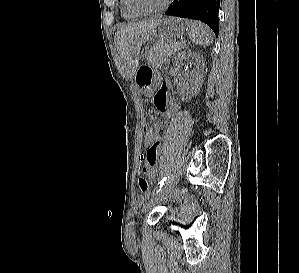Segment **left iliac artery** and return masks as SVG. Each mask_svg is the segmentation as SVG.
Returning <instances> with one entry per match:
<instances>
[{
  "label": "left iliac artery",
  "mask_w": 299,
  "mask_h": 273,
  "mask_svg": "<svg viewBox=\"0 0 299 273\" xmlns=\"http://www.w3.org/2000/svg\"><path fill=\"white\" fill-rule=\"evenodd\" d=\"M166 180H167V177L162 178V180L158 183V185L154 189L153 196L162 189Z\"/></svg>",
  "instance_id": "1"
}]
</instances>
